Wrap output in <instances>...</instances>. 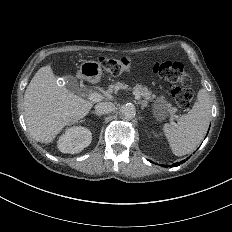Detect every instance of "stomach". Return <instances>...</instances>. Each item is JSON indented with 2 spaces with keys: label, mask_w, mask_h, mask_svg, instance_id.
<instances>
[{
  "label": "stomach",
  "mask_w": 232,
  "mask_h": 232,
  "mask_svg": "<svg viewBox=\"0 0 232 232\" xmlns=\"http://www.w3.org/2000/svg\"><path fill=\"white\" fill-rule=\"evenodd\" d=\"M80 73L85 79L97 82L102 75L101 65L96 61H84L80 66Z\"/></svg>",
  "instance_id": "0dacf381"
}]
</instances>
